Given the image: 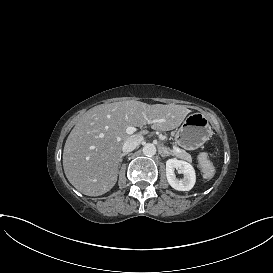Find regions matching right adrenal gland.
<instances>
[{"mask_svg": "<svg viewBox=\"0 0 273 273\" xmlns=\"http://www.w3.org/2000/svg\"><path fill=\"white\" fill-rule=\"evenodd\" d=\"M125 155H127V153H123V154L121 155V161H122V157L125 156Z\"/></svg>", "mask_w": 273, "mask_h": 273, "instance_id": "obj_1", "label": "right adrenal gland"}]
</instances>
